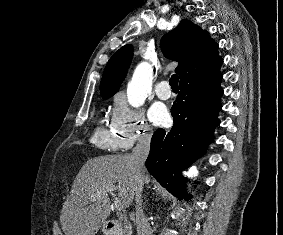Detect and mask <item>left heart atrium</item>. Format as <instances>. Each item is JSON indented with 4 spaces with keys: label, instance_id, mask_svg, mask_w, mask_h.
Returning a JSON list of instances; mask_svg holds the SVG:
<instances>
[{
    "label": "left heart atrium",
    "instance_id": "obj_1",
    "mask_svg": "<svg viewBox=\"0 0 283 235\" xmlns=\"http://www.w3.org/2000/svg\"><path fill=\"white\" fill-rule=\"evenodd\" d=\"M149 118L158 126L166 125L170 120L167 109L162 105L153 106L149 111Z\"/></svg>",
    "mask_w": 283,
    "mask_h": 235
}]
</instances>
